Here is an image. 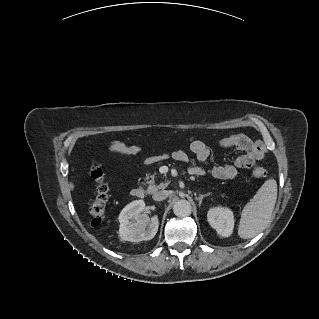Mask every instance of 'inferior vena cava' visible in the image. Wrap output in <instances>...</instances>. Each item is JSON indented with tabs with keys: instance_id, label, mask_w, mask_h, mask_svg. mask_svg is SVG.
Wrapping results in <instances>:
<instances>
[{
	"instance_id": "602c4592",
	"label": "inferior vena cava",
	"mask_w": 319,
	"mask_h": 319,
	"mask_svg": "<svg viewBox=\"0 0 319 319\" xmlns=\"http://www.w3.org/2000/svg\"><path fill=\"white\" fill-rule=\"evenodd\" d=\"M168 197V192L165 190H160V191H156L153 195L152 198L155 201H162L164 199H166Z\"/></svg>"
}]
</instances>
